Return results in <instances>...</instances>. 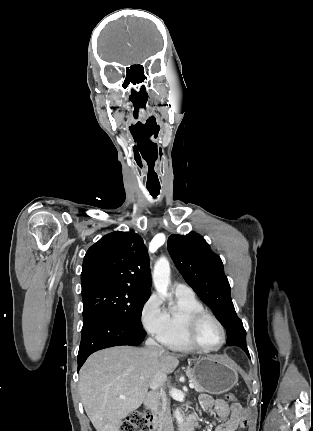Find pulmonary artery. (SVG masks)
<instances>
[{"label":"pulmonary artery","mask_w":313,"mask_h":431,"mask_svg":"<svg viewBox=\"0 0 313 431\" xmlns=\"http://www.w3.org/2000/svg\"><path fill=\"white\" fill-rule=\"evenodd\" d=\"M174 292L178 295H193L194 292L192 288H190L188 285L176 282L173 285Z\"/></svg>","instance_id":"1"}]
</instances>
